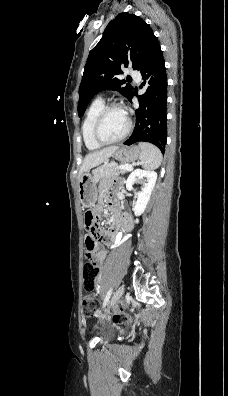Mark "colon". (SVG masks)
<instances>
[{
    "label": "colon",
    "mask_w": 228,
    "mask_h": 396,
    "mask_svg": "<svg viewBox=\"0 0 228 396\" xmlns=\"http://www.w3.org/2000/svg\"><path fill=\"white\" fill-rule=\"evenodd\" d=\"M84 221L86 228L89 232V235L87 236L85 241L87 261L83 266L84 288L87 291H92L96 286V280L100 274V270L92 258V255L97 247L98 239V226L96 224V215L91 211H87L84 214ZM98 305L99 302L95 296H85L82 300L83 314L87 317L93 316L98 309ZM121 308L123 309L124 306H122ZM115 321L117 323H129L130 318L124 312H120L115 316Z\"/></svg>",
    "instance_id": "obj_1"
}]
</instances>
